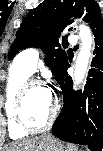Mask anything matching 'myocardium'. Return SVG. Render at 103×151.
Segmentation results:
<instances>
[{"instance_id":"obj_1","label":"myocardium","mask_w":103,"mask_h":151,"mask_svg":"<svg viewBox=\"0 0 103 151\" xmlns=\"http://www.w3.org/2000/svg\"><path fill=\"white\" fill-rule=\"evenodd\" d=\"M33 86H41L47 89L52 100V107H51L49 118L46 121V123L40 127H34L29 125L23 117L24 101L27 92ZM58 109H59L58 98L53 94V92L47 87V85L43 81L37 79H27L23 82V84L21 85V87L19 88L16 94L15 101H14V108H13V116L17 126L21 130L26 131L28 133H40L48 130L53 125L58 113Z\"/></svg>"}]
</instances>
